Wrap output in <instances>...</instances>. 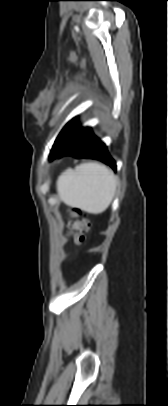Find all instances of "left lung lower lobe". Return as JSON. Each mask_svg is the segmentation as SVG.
I'll return each instance as SVG.
<instances>
[{
    "instance_id": "0a47b994",
    "label": "left lung lower lobe",
    "mask_w": 168,
    "mask_h": 406,
    "mask_svg": "<svg viewBox=\"0 0 168 406\" xmlns=\"http://www.w3.org/2000/svg\"><path fill=\"white\" fill-rule=\"evenodd\" d=\"M64 155L98 159L116 170L115 161L109 155L104 143L93 134L91 128H83L71 141L53 150L50 159Z\"/></svg>"
}]
</instances>
